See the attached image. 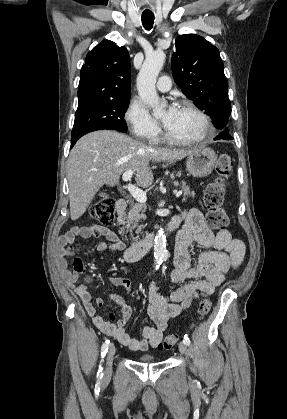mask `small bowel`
<instances>
[{
	"instance_id": "small-bowel-1",
	"label": "small bowel",
	"mask_w": 287,
	"mask_h": 419,
	"mask_svg": "<svg viewBox=\"0 0 287 419\" xmlns=\"http://www.w3.org/2000/svg\"><path fill=\"white\" fill-rule=\"evenodd\" d=\"M180 223H183V227L177 236L174 254L175 268L168 278L172 283L184 284L168 297L162 296L158 292L156 283L151 285L148 315L155 326H144L142 339L132 338L126 332L124 326L132 316V310L121 297L114 294L109 296L121 309L122 317L120 319H117L112 313L108 318L100 316L95 305L103 306V298L97 297L94 305L86 286L84 284L76 286L79 273L68 269L67 256L71 254L69 245L73 244L77 237H104L105 241L96 245L98 252L123 251L125 245L117 234L98 225L75 226L59 240L56 250V266L66 284L74 288L87 314L98 329L134 351L156 348L162 340L168 320L180 315L193 300L213 294L215 289L224 282L225 274L230 269L237 268L243 261L244 244L240 240L234 239L226 229L217 232L211 230L198 210L185 211L182 216L174 218L170 225L176 227ZM193 242H197L205 249L199 254L196 265L191 263L190 246ZM109 282L114 286L124 287L127 295L132 291V283L129 278L113 277Z\"/></svg>"
}]
</instances>
